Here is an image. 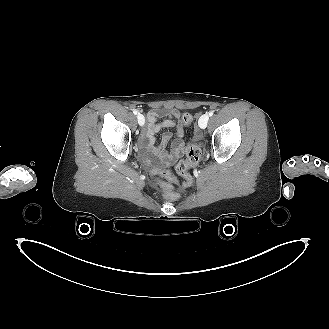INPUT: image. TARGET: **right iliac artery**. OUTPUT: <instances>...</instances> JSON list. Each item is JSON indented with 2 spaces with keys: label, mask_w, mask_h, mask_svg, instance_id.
I'll use <instances>...</instances> for the list:
<instances>
[{
  "label": "right iliac artery",
  "mask_w": 329,
  "mask_h": 329,
  "mask_svg": "<svg viewBox=\"0 0 329 329\" xmlns=\"http://www.w3.org/2000/svg\"><path fill=\"white\" fill-rule=\"evenodd\" d=\"M133 113H134L135 115H137V114H138V111H137L136 109H134V110H133Z\"/></svg>",
  "instance_id": "right-iliac-artery-1"
}]
</instances>
